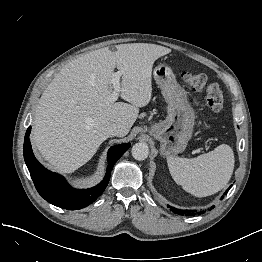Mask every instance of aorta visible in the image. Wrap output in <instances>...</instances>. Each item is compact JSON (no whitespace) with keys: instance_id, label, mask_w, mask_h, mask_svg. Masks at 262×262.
<instances>
[{"instance_id":"762f6f07","label":"aorta","mask_w":262,"mask_h":262,"mask_svg":"<svg viewBox=\"0 0 262 262\" xmlns=\"http://www.w3.org/2000/svg\"><path fill=\"white\" fill-rule=\"evenodd\" d=\"M132 156L138 161L145 160L149 155L148 146L144 143H136L132 147Z\"/></svg>"}]
</instances>
